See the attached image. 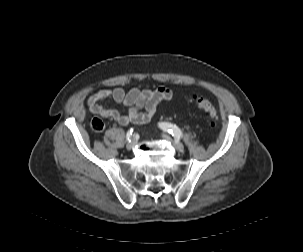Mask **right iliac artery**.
Instances as JSON below:
<instances>
[{
    "label": "right iliac artery",
    "instance_id": "1",
    "mask_svg": "<svg viewBox=\"0 0 303 252\" xmlns=\"http://www.w3.org/2000/svg\"><path fill=\"white\" fill-rule=\"evenodd\" d=\"M132 132H133V128H131V129L127 132L126 141H128V142L131 141Z\"/></svg>",
    "mask_w": 303,
    "mask_h": 252
}]
</instances>
